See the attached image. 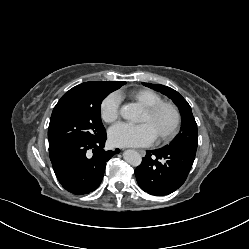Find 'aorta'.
<instances>
[{
    "mask_svg": "<svg viewBox=\"0 0 249 249\" xmlns=\"http://www.w3.org/2000/svg\"><path fill=\"white\" fill-rule=\"evenodd\" d=\"M139 110L135 104H126L120 109V115L126 120H135ZM124 160L132 165L139 166L141 164V155L135 150H126L123 154Z\"/></svg>",
    "mask_w": 249,
    "mask_h": 249,
    "instance_id": "obj_1",
    "label": "aorta"
}]
</instances>
